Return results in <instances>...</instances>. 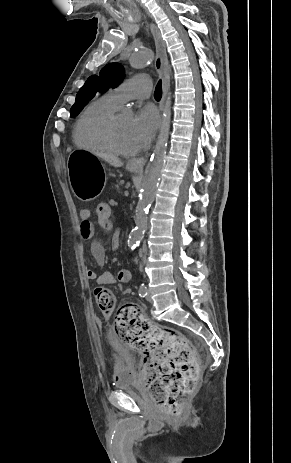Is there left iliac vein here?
Here are the masks:
<instances>
[{
	"label": "left iliac vein",
	"instance_id": "left-iliac-vein-1",
	"mask_svg": "<svg viewBox=\"0 0 291 463\" xmlns=\"http://www.w3.org/2000/svg\"><path fill=\"white\" fill-rule=\"evenodd\" d=\"M146 300H147L148 302H150V303L153 302V300H152V298H151V296H150L149 294H147Z\"/></svg>",
	"mask_w": 291,
	"mask_h": 463
}]
</instances>
